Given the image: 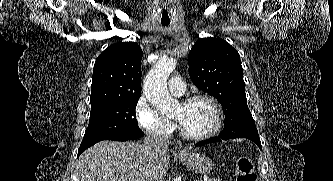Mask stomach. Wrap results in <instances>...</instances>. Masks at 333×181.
I'll use <instances>...</instances> for the list:
<instances>
[{
    "instance_id": "stomach-1",
    "label": "stomach",
    "mask_w": 333,
    "mask_h": 181,
    "mask_svg": "<svg viewBox=\"0 0 333 181\" xmlns=\"http://www.w3.org/2000/svg\"><path fill=\"white\" fill-rule=\"evenodd\" d=\"M178 158L184 166L196 173L206 174L213 167L212 160L203 154L185 152L184 154H180Z\"/></svg>"
}]
</instances>
